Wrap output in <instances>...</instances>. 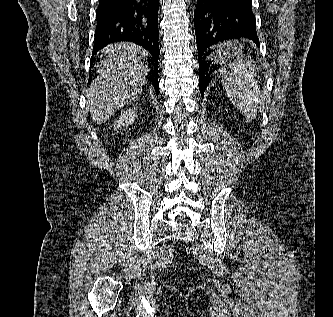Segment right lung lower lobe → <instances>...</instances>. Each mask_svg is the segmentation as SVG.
Returning <instances> with one entry per match:
<instances>
[{"mask_svg":"<svg viewBox=\"0 0 333 317\" xmlns=\"http://www.w3.org/2000/svg\"><path fill=\"white\" fill-rule=\"evenodd\" d=\"M158 7L159 0H99L97 26L92 57L102 48L117 41H132L153 56L148 80L158 95Z\"/></svg>","mask_w":333,"mask_h":317,"instance_id":"obj_1","label":"right lung lower lobe"}]
</instances>
